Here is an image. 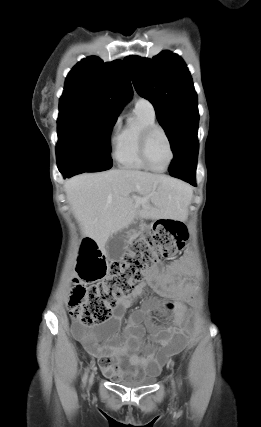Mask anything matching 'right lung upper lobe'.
<instances>
[{"label": "right lung upper lobe", "mask_w": 261, "mask_h": 427, "mask_svg": "<svg viewBox=\"0 0 261 427\" xmlns=\"http://www.w3.org/2000/svg\"><path fill=\"white\" fill-rule=\"evenodd\" d=\"M131 95L130 78L123 61L104 63L91 56L69 72L59 111L91 109L118 116Z\"/></svg>", "instance_id": "1"}]
</instances>
